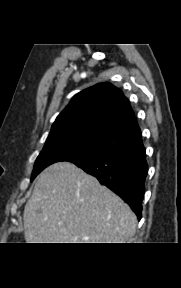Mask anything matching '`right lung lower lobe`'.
Listing matches in <instances>:
<instances>
[{
	"label": "right lung lower lobe",
	"instance_id": "right-lung-lower-lobe-1",
	"mask_svg": "<svg viewBox=\"0 0 181 288\" xmlns=\"http://www.w3.org/2000/svg\"><path fill=\"white\" fill-rule=\"evenodd\" d=\"M71 162L119 195L132 208L138 219H141L148 173L143 144Z\"/></svg>",
	"mask_w": 181,
	"mask_h": 288
}]
</instances>
